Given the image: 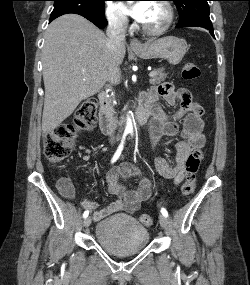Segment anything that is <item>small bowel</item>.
<instances>
[{"instance_id":"1","label":"small bowel","mask_w":250,"mask_h":285,"mask_svg":"<svg viewBox=\"0 0 250 285\" xmlns=\"http://www.w3.org/2000/svg\"><path fill=\"white\" fill-rule=\"evenodd\" d=\"M163 98L168 105H174L176 100L180 101V109L173 115L167 114L157 103ZM141 100L148 103L151 108L150 135L154 146L164 136H175L179 132L182 122V139L175 144L176 164L171 165L165 158L157 157L155 167L159 175L165 180H172L174 184L182 182L185 174V162L193 148H201L205 144L203 134V122L201 116L203 108L196 103L189 90H175L172 84L165 82L145 92ZM133 178L137 181V188L126 190L120 183L121 179ZM109 191L117 197L108 207L98 209V204L84 199L82 207L93 212V219L99 221L110 214L125 211L135 213L140 204L152 195L153 183L144 178L136 166L125 163L112 168L107 175ZM58 189L63 197L73 199L74 187L67 179H61Z\"/></svg>"}]
</instances>
